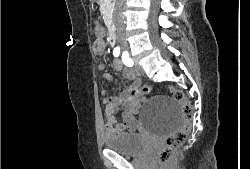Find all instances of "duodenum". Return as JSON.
Here are the masks:
<instances>
[{"instance_id":"duodenum-1","label":"duodenum","mask_w":250,"mask_h":169,"mask_svg":"<svg viewBox=\"0 0 250 169\" xmlns=\"http://www.w3.org/2000/svg\"><path fill=\"white\" fill-rule=\"evenodd\" d=\"M110 40L113 44H115L117 42V36H116V32L113 28L110 29Z\"/></svg>"}]
</instances>
